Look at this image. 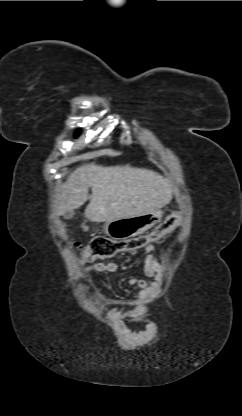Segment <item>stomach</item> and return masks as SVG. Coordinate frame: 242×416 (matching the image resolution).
Segmentation results:
<instances>
[{
	"label": "stomach",
	"instance_id": "obj_1",
	"mask_svg": "<svg viewBox=\"0 0 242 416\" xmlns=\"http://www.w3.org/2000/svg\"><path fill=\"white\" fill-rule=\"evenodd\" d=\"M163 217L161 210L150 213L124 217L107 221L103 225L104 232L114 240H125L147 232L159 223Z\"/></svg>",
	"mask_w": 242,
	"mask_h": 416
}]
</instances>
